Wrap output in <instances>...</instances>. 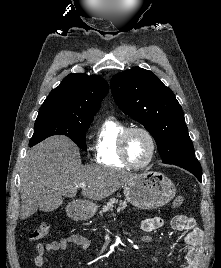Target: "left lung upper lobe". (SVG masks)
<instances>
[{
    "label": "left lung upper lobe",
    "instance_id": "obj_1",
    "mask_svg": "<svg viewBox=\"0 0 221 268\" xmlns=\"http://www.w3.org/2000/svg\"><path fill=\"white\" fill-rule=\"evenodd\" d=\"M110 86L118 107L154 137L164 163L195 158L182 107L155 74L133 67L113 76Z\"/></svg>",
    "mask_w": 221,
    "mask_h": 268
}]
</instances>
